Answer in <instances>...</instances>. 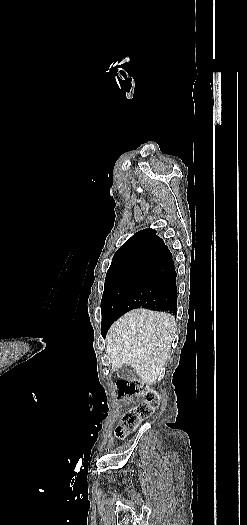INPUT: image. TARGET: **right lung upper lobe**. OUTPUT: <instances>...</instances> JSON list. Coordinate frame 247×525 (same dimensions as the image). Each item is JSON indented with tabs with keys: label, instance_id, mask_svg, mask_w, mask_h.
<instances>
[{
	"label": "right lung upper lobe",
	"instance_id": "1",
	"mask_svg": "<svg viewBox=\"0 0 247 525\" xmlns=\"http://www.w3.org/2000/svg\"><path fill=\"white\" fill-rule=\"evenodd\" d=\"M167 248L164 241L156 235V230H141L116 251L108 271L135 267L151 256L160 255Z\"/></svg>",
	"mask_w": 247,
	"mask_h": 525
}]
</instances>
